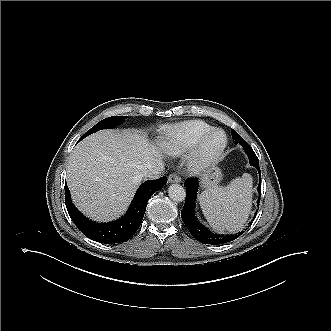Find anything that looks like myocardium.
I'll return each mask as SVG.
<instances>
[{
  "label": "myocardium",
  "instance_id": "1",
  "mask_svg": "<svg viewBox=\"0 0 331 331\" xmlns=\"http://www.w3.org/2000/svg\"><path fill=\"white\" fill-rule=\"evenodd\" d=\"M220 133L223 141L219 147L210 150L208 142L215 134ZM228 145V138L226 133L221 129H211L204 134L197 143L191 148L188 154V164L192 170H201L210 167L217 163L224 154Z\"/></svg>",
  "mask_w": 331,
  "mask_h": 331
}]
</instances>
